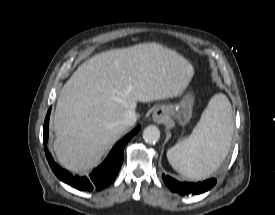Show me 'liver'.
Instances as JSON below:
<instances>
[{
  "label": "liver",
  "instance_id": "6515ba94",
  "mask_svg": "<svg viewBox=\"0 0 275 215\" xmlns=\"http://www.w3.org/2000/svg\"><path fill=\"white\" fill-rule=\"evenodd\" d=\"M194 69L158 43L112 49L84 62L63 86L54 114L59 163L80 173L95 166L128 131L120 123L137 102L181 96Z\"/></svg>",
  "mask_w": 275,
  "mask_h": 215
}]
</instances>
